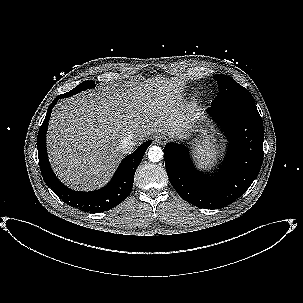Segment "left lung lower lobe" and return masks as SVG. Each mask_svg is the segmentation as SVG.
<instances>
[{"label":"left lung lower lobe","mask_w":303,"mask_h":303,"mask_svg":"<svg viewBox=\"0 0 303 303\" xmlns=\"http://www.w3.org/2000/svg\"><path fill=\"white\" fill-rule=\"evenodd\" d=\"M208 112L229 141L226 158L215 176L197 171L184 145L166 144L164 156L177 193L197 207L217 209L238 199L258 176L264 128L255 103L212 105Z\"/></svg>","instance_id":"left-lung-lower-lobe-1"}]
</instances>
